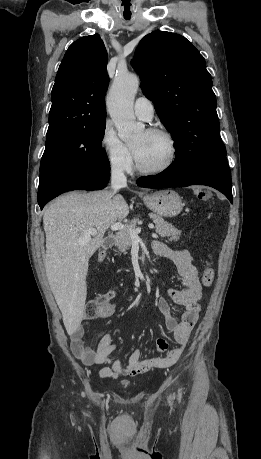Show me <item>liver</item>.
Instances as JSON below:
<instances>
[{
    "label": "liver",
    "instance_id": "6515ba94",
    "mask_svg": "<svg viewBox=\"0 0 261 459\" xmlns=\"http://www.w3.org/2000/svg\"><path fill=\"white\" fill-rule=\"evenodd\" d=\"M128 213L124 198L108 190L70 192L44 211L46 276L69 335L79 328L84 316L89 259L102 245L108 228ZM91 228L96 234L86 245H79L78 239Z\"/></svg>",
    "mask_w": 261,
    "mask_h": 459
}]
</instances>
